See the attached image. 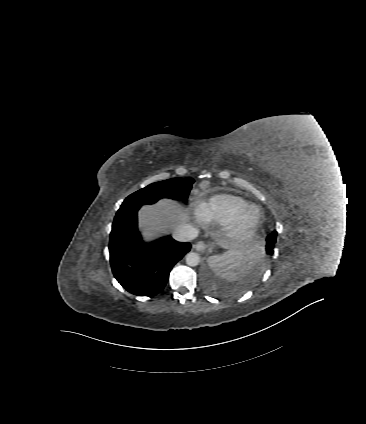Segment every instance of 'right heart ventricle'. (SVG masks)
<instances>
[{
  "label": "right heart ventricle",
  "mask_w": 366,
  "mask_h": 424,
  "mask_svg": "<svg viewBox=\"0 0 366 424\" xmlns=\"http://www.w3.org/2000/svg\"><path fill=\"white\" fill-rule=\"evenodd\" d=\"M247 205L249 203L243 197L232 194H218L203 202L198 212L205 222L227 225Z\"/></svg>",
  "instance_id": "1"
}]
</instances>
